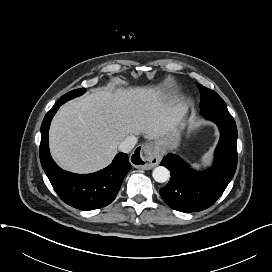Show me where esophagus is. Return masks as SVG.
<instances>
[{
  "instance_id": "esophagus-1",
  "label": "esophagus",
  "mask_w": 272,
  "mask_h": 272,
  "mask_svg": "<svg viewBox=\"0 0 272 272\" xmlns=\"http://www.w3.org/2000/svg\"><path fill=\"white\" fill-rule=\"evenodd\" d=\"M132 162L136 168L150 170L158 165L161 160V153L158 146L153 142H148L136 149L132 154Z\"/></svg>"
}]
</instances>
